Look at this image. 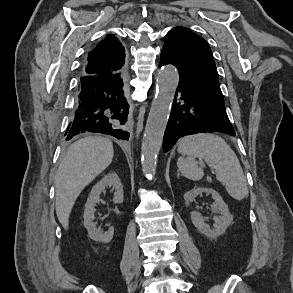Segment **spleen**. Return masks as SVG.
I'll list each match as a JSON object with an SVG mask.
<instances>
[{"label": "spleen", "mask_w": 293, "mask_h": 293, "mask_svg": "<svg viewBox=\"0 0 293 293\" xmlns=\"http://www.w3.org/2000/svg\"><path fill=\"white\" fill-rule=\"evenodd\" d=\"M182 155L178 158L179 171L186 178L197 181L204 176L194 158H203L215 169L216 178L236 200H243L249 194L240 162L229 144L215 134L198 133L183 137L178 146Z\"/></svg>", "instance_id": "1"}]
</instances>
